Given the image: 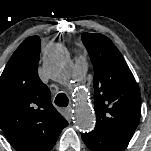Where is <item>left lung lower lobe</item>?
Instances as JSON below:
<instances>
[{
	"mask_svg": "<svg viewBox=\"0 0 151 151\" xmlns=\"http://www.w3.org/2000/svg\"><path fill=\"white\" fill-rule=\"evenodd\" d=\"M82 139L92 151H122L128 146L131 137L93 130L90 133L83 134Z\"/></svg>",
	"mask_w": 151,
	"mask_h": 151,
	"instance_id": "left-lung-lower-lobe-1",
	"label": "left lung lower lobe"
}]
</instances>
